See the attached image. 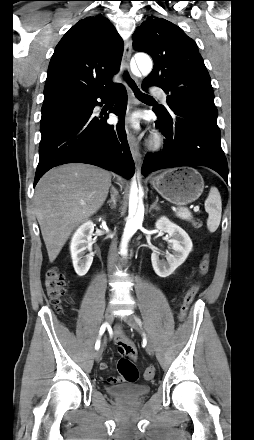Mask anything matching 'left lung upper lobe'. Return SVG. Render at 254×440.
<instances>
[{"label": "left lung upper lobe", "mask_w": 254, "mask_h": 440, "mask_svg": "<svg viewBox=\"0 0 254 440\" xmlns=\"http://www.w3.org/2000/svg\"><path fill=\"white\" fill-rule=\"evenodd\" d=\"M134 49L154 60L143 83L161 87L168 105L180 102L217 114L211 79L198 47L181 28L162 18H149L133 34ZM160 111L168 114V109Z\"/></svg>", "instance_id": "1"}]
</instances>
